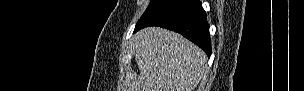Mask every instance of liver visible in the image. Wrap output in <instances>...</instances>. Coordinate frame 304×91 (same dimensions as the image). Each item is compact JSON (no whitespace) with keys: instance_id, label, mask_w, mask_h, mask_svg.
Listing matches in <instances>:
<instances>
[{"instance_id":"obj_1","label":"liver","mask_w":304,"mask_h":91,"mask_svg":"<svg viewBox=\"0 0 304 91\" xmlns=\"http://www.w3.org/2000/svg\"><path fill=\"white\" fill-rule=\"evenodd\" d=\"M140 74L130 91H194L207 71V57L178 33L145 28L135 36Z\"/></svg>"}]
</instances>
